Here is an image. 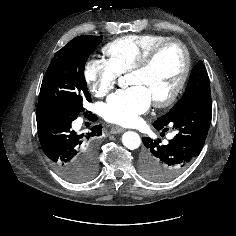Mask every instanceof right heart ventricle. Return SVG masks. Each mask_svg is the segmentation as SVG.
I'll return each instance as SVG.
<instances>
[{
    "label": "right heart ventricle",
    "instance_id": "obj_1",
    "mask_svg": "<svg viewBox=\"0 0 236 236\" xmlns=\"http://www.w3.org/2000/svg\"><path fill=\"white\" fill-rule=\"evenodd\" d=\"M163 34L126 35L107 43L103 52L119 73L130 71L157 44L170 39Z\"/></svg>",
    "mask_w": 236,
    "mask_h": 236
}]
</instances>
